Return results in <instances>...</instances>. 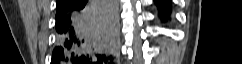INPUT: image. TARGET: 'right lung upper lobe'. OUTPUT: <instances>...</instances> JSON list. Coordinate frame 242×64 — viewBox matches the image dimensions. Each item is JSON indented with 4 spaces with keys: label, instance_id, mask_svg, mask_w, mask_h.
Masks as SVG:
<instances>
[{
    "label": "right lung upper lobe",
    "instance_id": "obj_1",
    "mask_svg": "<svg viewBox=\"0 0 242 64\" xmlns=\"http://www.w3.org/2000/svg\"><path fill=\"white\" fill-rule=\"evenodd\" d=\"M66 1H69V0H57V8H60L62 5H64Z\"/></svg>",
    "mask_w": 242,
    "mask_h": 64
}]
</instances>
